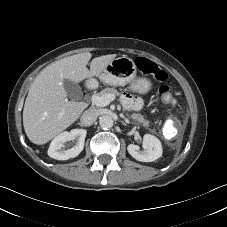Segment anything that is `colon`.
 <instances>
[{"label": "colon", "instance_id": "obj_1", "mask_svg": "<svg viewBox=\"0 0 227 227\" xmlns=\"http://www.w3.org/2000/svg\"><path fill=\"white\" fill-rule=\"evenodd\" d=\"M136 66L141 73L151 75L157 81L163 82L167 78L166 72L147 58H138ZM158 97L165 104L171 105L175 103L174 94L171 88L167 85H162L158 89Z\"/></svg>", "mask_w": 227, "mask_h": 227}]
</instances>
